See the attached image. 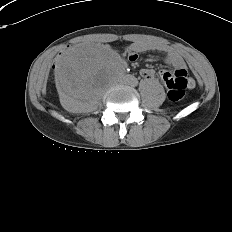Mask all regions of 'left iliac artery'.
<instances>
[{
  "label": "left iliac artery",
  "mask_w": 232,
  "mask_h": 232,
  "mask_svg": "<svg viewBox=\"0 0 232 232\" xmlns=\"http://www.w3.org/2000/svg\"><path fill=\"white\" fill-rule=\"evenodd\" d=\"M137 83H138V81H136V80H132V82H131V84H132L133 86H136Z\"/></svg>",
  "instance_id": "obj_1"
}]
</instances>
